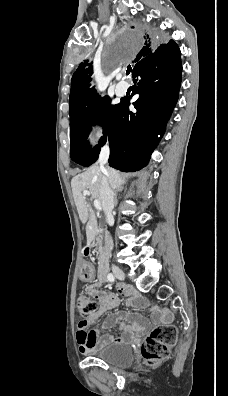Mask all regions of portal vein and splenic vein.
<instances>
[{
    "mask_svg": "<svg viewBox=\"0 0 228 396\" xmlns=\"http://www.w3.org/2000/svg\"><path fill=\"white\" fill-rule=\"evenodd\" d=\"M84 196H89L90 193L88 191H83ZM94 206L97 210H101V203L99 200H94Z\"/></svg>",
    "mask_w": 228,
    "mask_h": 396,
    "instance_id": "obj_1",
    "label": "portal vein and splenic vein"
}]
</instances>
